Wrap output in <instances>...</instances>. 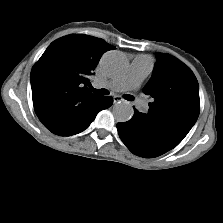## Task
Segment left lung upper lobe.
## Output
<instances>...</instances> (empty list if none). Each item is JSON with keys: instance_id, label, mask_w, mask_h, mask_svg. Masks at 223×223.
Segmentation results:
<instances>
[{"instance_id": "left-lung-upper-lobe-1", "label": "left lung upper lobe", "mask_w": 223, "mask_h": 223, "mask_svg": "<svg viewBox=\"0 0 223 223\" xmlns=\"http://www.w3.org/2000/svg\"><path fill=\"white\" fill-rule=\"evenodd\" d=\"M143 92L154 98L148 114L136 112L150 129L179 140L191 130L200 111L199 85L193 72L176 58L160 54Z\"/></svg>"}]
</instances>
